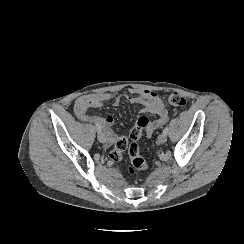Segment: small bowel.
Listing matches in <instances>:
<instances>
[{
    "instance_id": "c3829d8e",
    "label": "small bowel",
    "mask_w": 244,
    "mask_h": 244,
    "mask_svg": "<svg viewBox=\"0 0 244 244\" xmlns=\"http://www.w3.org/2000/svg\"><path fill=\"white\" fill-rule=\"evenodd\" d=\"M114 101L118 105L120 99H115L114 95L107 92L88 94L80 96L74 103V114L82 122L98 121L99 127L104 130L106 135L107 145H112L116 140V134L112 127L114 124V117L112 115L95 116L89 113L91 109H99L104 103ZM126 100L132 104H139L142 106L141 112L153 114L155 119L150 120V126L145 129L148 136H151L158 128L162 127L169 118V111L161 100L159 95L147 89H131L130 95L126 96Z\"/></svg>"
}]
</instances>
